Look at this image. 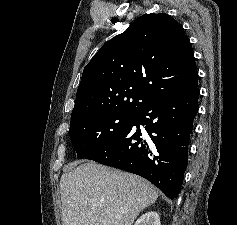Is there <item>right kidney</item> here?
I'll use <instances>...</instances> for the list:
<instances>
[{
    "label": "right kidney",
    "mask_w": 237,
    "mask_h": 225,
    "mask_svg": "<svg viewBox=\"0 0 237 225\" xmlns=\"http://www.w3.org/2000/svg\"><path fill=\"white\" fill-rule=\"evenodd\" d=\"M134 225H161L159 214L154 211L146 212L135 222Z\"/></svg>",
    "instance_id": "ca27d5eb"
}]
</instances>
